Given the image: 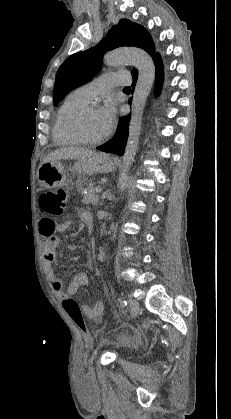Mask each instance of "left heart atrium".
I'll return each instance as SVG.
<instances>
[{
	"mask_svg": "<svg viewBox=\"0 0 231 419\" xmlns=\"http://www.w3.org/2000/svg\"><path fill=\"white\" fill-rule=\"evenodd\" d=\"M99 113L104 123L106 132H108L113 127L116 118V108L114 102L112 100H108L99 110Z\"/></svg>",
	"mask_w": 231,
	"mask_h": 419,
	"instance_id": "39dd6f15",
	"label": "left heart atrium"
}]
</instances>
